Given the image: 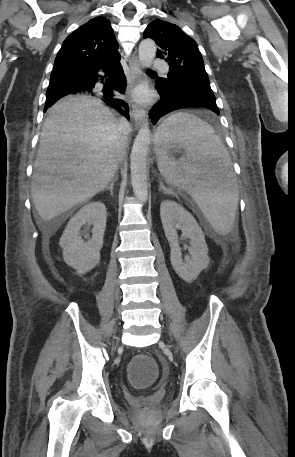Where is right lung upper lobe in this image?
Returning <instances> with one entry per match:
<instances>
[{"label":"right lung upper lobe","mask_w":295,"mask_h":457,"mask_svg":"<svg viewBox=\"0 0 295 457\" xmlns=\"http://www.w3.org/2000/svg\"><path fill=\"white\" fill-rule=\"evenodd\" d=\"M118 53V43L110 21L104 17H96L64 40L56 56L52 73L80 71Z\"/></svg>","instance_id":"obj_1"}]
</instances>
